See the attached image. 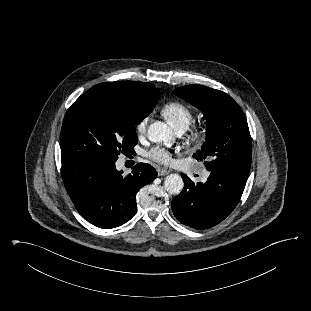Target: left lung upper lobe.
I'll return each instance as SVG.
<instances>
[{
  "mask_svg": "<svg viewBox=\"0 0 311 311\" xmlns=\"http://www.w3.org/2000/svg\"><path fill=\"white\" fill-rule=\"evenodd\" d=\"M173 93L200 109L207 118L206 142L193 157L207 170L249 175L251 136L241 107L226 93L203 85L179 87Z\"/></svg>",
  "mask_w": 311,
  "mask_h": 311,
  "instance_id": "5c2ea615",
  "label": "left lung upper lobe"
}]
</instances>
